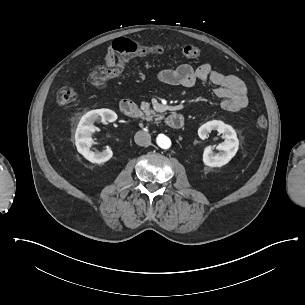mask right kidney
<instances>
[{
    "label": "right kidney",
    "instance_id": "obj_1",
    "mask_svg": "<svg viewBox=\"0 0 305 305\" xmlns=\"http://www.w3.org/2000/svg\"><path fill=\"white\" fill-rule=\"evenodd\" d=\"M101 118V119H100ZM117 119V114L109 109L92 110L86 113L80 120L76 131V146L80 154L92 163H103L108 161L113 153L110 148L102 152H93L90 147L93 143L91 134L94 132L93 123L95 121L114 122Z\"/></svg>",
    "mask_w": 305,
    "mask_h": 305
}]
</instances>
